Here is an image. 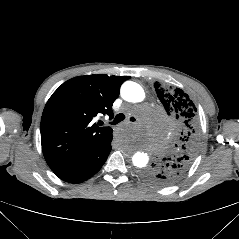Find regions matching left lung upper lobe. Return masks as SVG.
<instances>
[{
	"mask_svg": "<svg viewBox=\"0 0 239 239\" xmlns=\"http://www.w3.org/2000/svg\"><path fill=\"white\" fill-rule=\"evenodd\" d=\"M154 87L167 115L176 124L178 136L173 152L144 171L143 177L155 185L167 186L180 180L194 160L200 142L199 120L194 103L181 89L157 82Z\"/></svg>",
	"mask_w": 239,
	"mask_h": 239,
	"instance_id": "obj_1",
	"label": "left lung upper lobe"
}]
</instances>
